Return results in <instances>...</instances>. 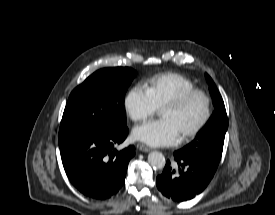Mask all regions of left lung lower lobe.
<instances>
[{
    "label": "left lung lower lobe",
    "mask_w": 275,
    "mask_h": 215,
    "mask_svg": "<svg viewBox=\"0 0 275 215\" xmlns=\"http://www.w3.org/2000/svg\"><path fill=\"white\" fill-rule=\"evenodd\" d=\"M174 159L176 168L168 160L162 174L156 178L158 190L173 201H187L203 192L217 170L216 165L179 151L174 152Z\"/></svg>",
    "instance_id": "0a47b994"
}]
</instances>
